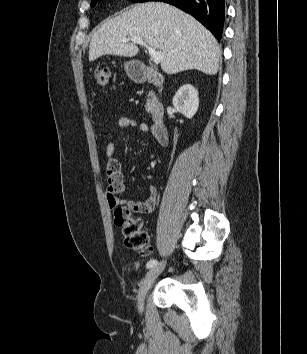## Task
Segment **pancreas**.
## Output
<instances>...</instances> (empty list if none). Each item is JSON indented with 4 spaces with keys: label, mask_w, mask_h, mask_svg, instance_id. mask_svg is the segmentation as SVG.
I'll use <instances>...</instances> for the list:
<instances>
[{
    "label": "pancreas",
    "mask_w": 307,
    "mask_h": 354,
    "mask_svg": "<svg viewBox=\"0 0 307 354\" xmlns=\"http://www.w3.org/2000/svg\"><path fill=\"white\" fill-rule=\"evenodd\" d=\"M150 95L153 96L154 93L150 92ZM152 110V103H151V99H147V104H146V111L150 112Z\"/></svg>",
    "instance_id": "pancreas-1"
}]
</instances>
